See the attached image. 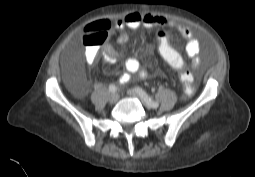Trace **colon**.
Wrapping results in <instances>:
<instances>
[{"instance_id": "1", "label": "colon", "mask_w": 255, "mask_h": 177, "mask_svg": "<svg viewBox=\"0 0 255 177\" xmlns=\"http://www.w3.org/2000/svg\"><path fill=\"white\" fill-rule=\"evenodd\" d=\"M109 27L107 21L87 25L84 30L86 44L90 46L103 44L107 40ZM154 40V47L160 54L162 62L175 70L179 83L185 86V94L192 95L195 91L194 76L178 48L169 41L168 33L157 31Z\"/></svg>"}]
</instances>
